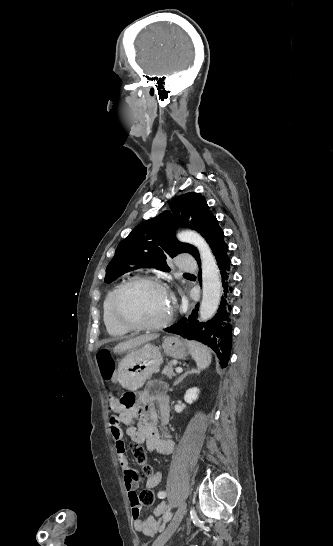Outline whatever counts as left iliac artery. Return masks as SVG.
I'll list each match as a JSON object with an SVG mask.
<instances>
[{"mask_svg":"<svg viewBox=\"0 0 333 546\" xmlns=\"http://www.w3.org/2000/svg\"><path fill=\"white\" fill-rule=\"evenodd\" d=\"M170 518H171V514L168 515V519H170Z\"/></svg>","mask_w":333,"mask_h":546,"instance_id":"obj_1","label":"left iliac artery"}]
</instances>
